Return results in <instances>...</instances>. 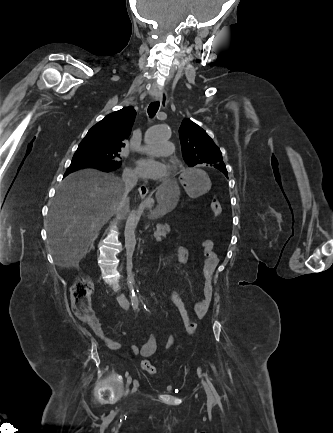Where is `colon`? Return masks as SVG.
Listing matches in <instances>:
<instances>
[{
    "instance_id": "colon-1",
    "label": "colon",
    "mask_w": 333,
    "mask_h": 433,
    "mask_svg": "<svg viewBox=\"0 0 333 433\" xmlns=\"http://www.w3.org/2000/svg\"><path fill=\"white\" fill-rule=\"evenodd\" d=\"M211 211L215 217H218L222 212V206L220 202L213 198L211 200ZM93 291V283L88 277H79L76 279L71 287V299H72V309L74 314L83 322L92 324L96 321V316L91 307V295ZM179 290L171 289L169 291V303L173 304L174 307L178 308V314L183 321L184 330H191L194 333L195 330L199 329L198 320L191 319L190 310L184 308V302L178 295ZM142 368L150 373L155 374L156 368L148 359H144L141 363Z\"/></svg>"
}]
</instances>
